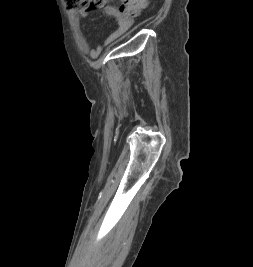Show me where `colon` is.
<instances>
[{"mask_svg":"<svg viewBox=\"0 0 253 267\" xmlns=\"http://www.w3.org/2000/svg\"><path fill=\"white\" fill-rule=\"evenodd\" d=\"M107 0H65L67 9L89 12L102 8ZM148 0H121L120 11L130 17L139 16L146 8Z\"/></svg>","mask_w":253,"mask_h":267,"instance_id":"colon-1","label":"colon"}]
</instances>
